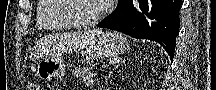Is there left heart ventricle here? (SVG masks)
<instances>
[{
    "instance_id": "1",
    "label": "left heart ventricle",
    "mask_w": 216,
    "mask_h": 90,
    "mask_svg": "<svg viewBox=\"0 0 216 90\" xmlns=\"http://www.w3.org/2000/svg\"><path fill=\"white\" fill-rule=\"evenodd\" d=\"M70 6H74L72 13L79 20H89L94 18L101 7V1L79 0L71 1Z\"/></svg>"
}]
</instances>
